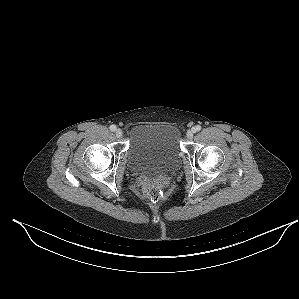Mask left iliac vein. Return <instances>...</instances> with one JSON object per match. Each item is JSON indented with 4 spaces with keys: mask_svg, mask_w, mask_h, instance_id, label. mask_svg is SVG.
<instances>
[{
    "mask_svg": "<svg viewBox=\"0 0 299 299\" xmlns=\"http://www.w3.org/2000/svg\"><path fill=\"white\" fill-rule=\"evenodd\" d=\"M194 135V130H188L186 136L188 139H192Z\"/></svg>",
    "mask_w": 299,
    "mask_h": 299,
    "instance_id": "4c4485c4",
    "label": "left iliac vein"
}]
</instances>
